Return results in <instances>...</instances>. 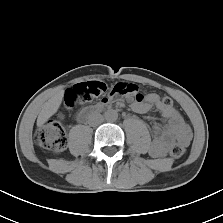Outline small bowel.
<instances>
[{
	"label": "small bowel",
	"mask_w": 223,
	"mask_h": 223,
	"mask_svg": "<svg viewBox=\"0 0 223 223\" xmlns=\"http://www.w3.org/2000/svg\"><path fill=\"white\" fill-rule=\"evenodd\" d=\"M129 102L132 110L140 114L147 113L152 106H155L165 120L163 126L157 124L153 126L154 139L149 147V154L152 157L159 158L164 156L169 146L175 141H179L184 145L190 142L192 138L190 127L177 109L173 105L166 107L162 104L161 98L157 94H149L141 100L130 98ZM109 103V98H103L95 107L106 106Z\"/></svg>",
	"instance_id": "c3829d8e"
}]
</instances>
